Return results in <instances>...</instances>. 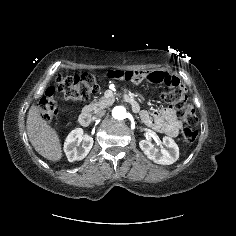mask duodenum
Returning <instances> with one entry per match:
<instances>
[{"label": "duodenum", "mask_w": 236, "mask_h": 236, "mask_svg": "<svg viewBox=\"0 0 236 236\" xmlns=\"http://www.w3.org/2000/svg\"><path fill=\"white\" fill-rule=\"evenodd\" d=\"M123 99L132 107V109L135 112H139L140 111V106L139 103L137 102V100L130 96V95H124ZM79 123L82 126H88L91 122V116L90 113L88 111H83L80 115H79Z\"/></svg>", "instance_id": "obj_1"}]
</instances>
